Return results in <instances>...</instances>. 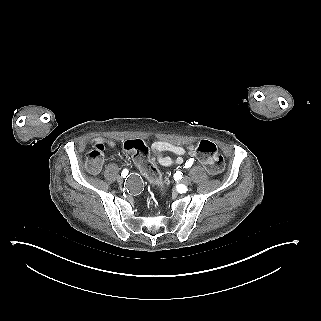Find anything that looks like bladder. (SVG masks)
Here are the masks:
<instances>
[{
    "label": "bladder",
    "instance_id": "obj_1",
    "mask_svg": "<svg viewBox=\"0 0 321 321\" xmlns=\"http://www.w3.org/2000/svg\"><path fill=\"white\" fill-rule=\"evenodd\" d=\"M156 157H157V154H156V153L151 154V155L149 156L150 161H151V162H152V161H155Z\"/></svg>",
    "mask_w": 321,
    "mask_h": 321
}]
</instances>
